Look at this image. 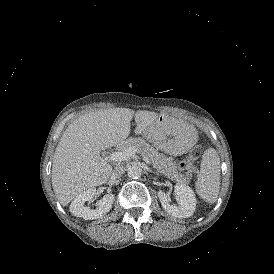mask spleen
<instances>
[{"label": "spleen", "mask_w": 274, "mask_h": 274, "mask_svg": "<svg viewBox=\"0 0 274 274\" xmlns=\"http://www.w3.org/2000/svg\"><path fill=\"white\" fill-rule=\"evenodd\" d=\"M220 158L213 147L204 150L194 183L195 193L204 202L214 204L220 189Z\"/></svg>", "instance_id": "obj_1"}]
</instances>
